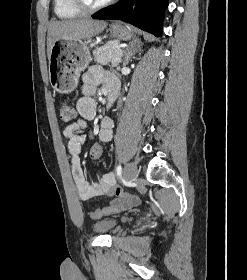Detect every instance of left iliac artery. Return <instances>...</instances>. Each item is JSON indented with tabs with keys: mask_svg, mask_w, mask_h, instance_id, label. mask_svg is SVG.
I'll return each instance as SVG.
<instances>
[{
	"mask_svg": "<svg viewBox=\"0 0 247 280\" xmlns=\"http://www.w3.org/2000/svg\"><path fill=\"white\" fill-rule=\"evenodd\" d=\"M116 172H117L118 177H121V174H122V167H121V165L117 166Z\"/></svg>",
	"mask_w": 247,
	"mask_h": 280,
	"instance_id": "44dca946",
	"label": "left iliac artery"
}]
</instances>
